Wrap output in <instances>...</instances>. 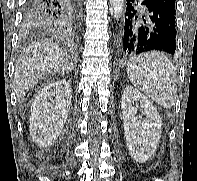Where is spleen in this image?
Wrapping results in <instances>:
<instances>
[{
    "mask_svg": "<svg viewBox=\"0 0 197 181\" xmlns=\"http://www.w3.org/2000/svg\"><path fill=\"white\" fill-rule=\"evenodd\" d=\"M127 74L135 87L160 106L171 108L175 104V67L163 53L152 51L135 57Z\"/></svg>",
    "mask_w": 197,
    "mask_h": 181,
    "instance_id": "spleen-1",
    "label": "spleen"
}]
</instances>
